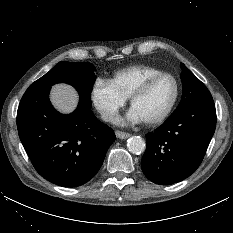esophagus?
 <instances>
[{
  "label": "esophagus",
  "instance_id": "obj_1",
  "mask_svg": "<svg viewBox=\"0 0 233 233\" xmlns=\"http://www.w3.org/2000/svg\"><path fill=\"white\" fill-rule=\"evenodd\" d=\"M115 134H116L117 138H120V139H127V138H129L131 136L129 133L119 131V130H117L115 132Z\"/></svg>",
  "mask_w": 233,
  "mask_h": 233
}]
</instances>
